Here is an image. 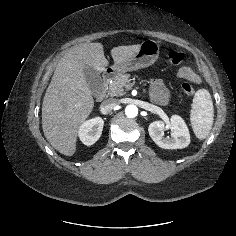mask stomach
<instances>
[{
	"label": "stomach",
	"mask_w": 236,
	"mask_h": 236,
	"mask_svg": "<svg viewBox=\"0 0 236 236\" xmlns=\"http://www.w3.org/2000/svg\"><path fill=\"white\" fill-rule=\"evenodd\" d=\"M159 44L154 40L143 41L139 50L127 60L115 63L112 66L114 74H122L149 67L155 63L159 56Z\"/></svg>",
	"instance_id": "0dacf381"
}]
</instances>
